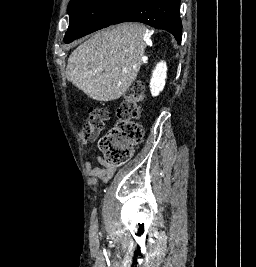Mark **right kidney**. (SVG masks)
<instances>
[{"label":"right kidney","mask_w":256,"mask_h":267,"mask_svg":"<svg viewBox=\"0 0 256 267\" xmlns=\"http://www.w3.org/2000/svg\"><path fill=\"white\" fill-rule=\"evenodd\" d=\"M167 66L166 62H159L155 70H153L152 78L150 80V88L152 96H158L165 86Z\"/></svg>","instance_id":"ca27d5eb"}]
</instances>
